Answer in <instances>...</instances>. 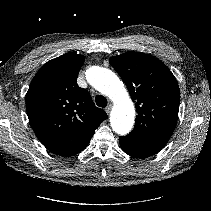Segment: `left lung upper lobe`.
<instances>
[{"label":"left lung upper lobe","instance_id":"obj_1","mask_svg":"<svg viewBox=\"0 0 211 211\" xmlns=\"http://www.w3.org/2000/svg\"><path fill=\"white\" fill-rule=\"evenodd\" d=\"M111 66L125 82L138 115L130 136L166 139L178 118V82L159 59L140 52L111 57Z\"/></svg>","mask_w":211,"mask_h":211}]
</instances>
